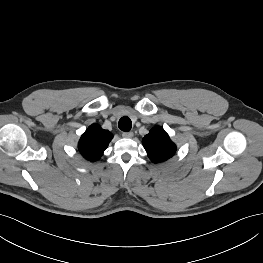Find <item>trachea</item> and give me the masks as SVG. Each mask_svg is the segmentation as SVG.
<instances>
[{"instance_id": "1", "label": "trachea", "mask_w": 263, "mask_h": 263, "mask_svg": "<svg viewBox=\"0 0 263 263\" xmlns=\"http://www.w3.org/2000/svg\"><path fill=\"white\" fill-rule=\"evenodd\" d=\"M118 126H119L120 130H122L124 132H128L131 130L132 122H131L130 118H128V117H122L119 120Z\"/></svg>"}]
</instances>
